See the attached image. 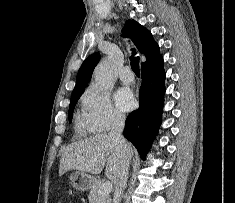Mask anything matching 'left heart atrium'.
Here are the masks:
<instances>
[{
	"label": "left heart atrium",
	"instance_id": "left-heart-atrium-1",
	"mask_svg": "<svg viewBox=\"0 0 235 203\" xmlns=\"http://www.w3.org/2000/svg\"><path fill=\"white\" fill-rule=\"evenodd\" d=\"M118 107L123 111H129L134 108L136 101L132 92L128 89H120L115 95Z\"/></svg>",
	"mask_w": 235,
	"mask_h": 203
}]
</instances>
